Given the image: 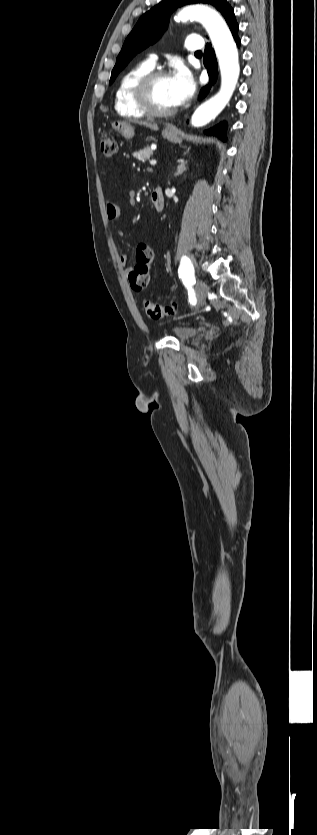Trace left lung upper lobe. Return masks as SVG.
I'll return each mask as SVG.
<instances>
[{"label": "left lung upper lobe", "instance_id": "left-lung-upper-lobe-1", "mask_svg": "<svg viewBox=\"0 0 317 835\" xmlns=\"http://www.w3.org/2000/svg\"><path fill=\"white\" fill-rule=\"evenodd\" d=\"M210 4L219 10L224 18L232 9L227 0H168L159 3L143 14L126 38L112 70L110 84L129 60L149 45L155 43L167 28L171 12L185 4Z\"/></svg>", "mask_w": 317, "mask_h": 835}]
</instances>
